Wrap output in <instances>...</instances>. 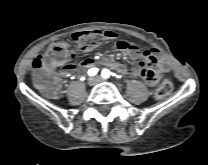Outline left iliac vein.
<instances>
[{
    "label": "left iliac vein",
    "mask_w": 208,
    "mask_h": 165,
    "mask_svg": "<svg viewBox=\"0 0 208 165\" xmlns=\"http://www.w3.org/2000/svg\"><path fill=\"white\" fill-rule=\"evenodd\" d=\"M96 80L97 81H100V82L103 81V79L102 78H99V77H97Z\"/></svg>",
    "instance_id": "left-iliac-vein-1"
}]
</instances>
